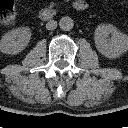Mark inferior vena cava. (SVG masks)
Here are the masks:
<instances>
[{"label":"inferior vena cava","mask_w":128,"mask_h":128,"mask_svg":"<svg viewBox=\"0 0 128 128\" xmlns=\"http://www.w3.org/2000/svg\"><path fill=\"white\" fill-rule=\"evenodd\" d=\"M56 27H57V22L54 21V20H50V21L46 24V28H47L48 30H54V29H56Z\"/></svg>","instance_id":"1"}]
</instances>
